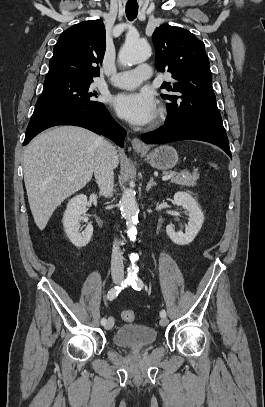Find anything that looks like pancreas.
I'll return each mask as SVG.
<instances>
[{
	"label": "pancreas",
	"mask_w": 265,
	"mask_h": 407,
	"mask_svg": "<svg viewBox=\"0 0 265 407\" xmlns=\"http://www.w3.org/2000/svg\"><path fill=\"white\" fill-rule=\"evenodd\" d=\"M170 174H174L173 177H171V182L181 185V186H187V187H194L196 186V181L199 179V173H181V174H176L174 172H171Z\"/></svg>",
	"instance_id": "1"
}]
</instances>
